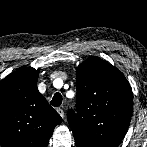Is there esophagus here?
<instances>
[{
  "mask_svg": "<svg viewBox=\"0 0 147 147\" xmlns=\"http://www.w3.org/2000/svg\"><path fill=\"white\" fill-rule=\"evenodd\" d=\"M56 110H57L58 114H59L62 118H64V111H63V109H62V108H57Z\"/></svg>",
  "mask_w": 147,
  "mask_h": 147,
  "instance_id": "1",
  "label": "esophagus"
}]
</instances>
